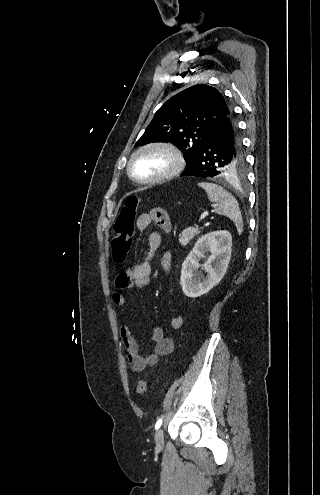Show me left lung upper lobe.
Masks as SVG:
<instances>
[{
  "label": "left lung upper lobe",
  "mask_w": 320,
  "mask_h": 495,
  "mask_svg": "<svg viewBox=\"0 0 320 495\" xmlns=\"http://www.w3.org/2000/svg\"><path fill=\"white\" fill-rule=\"evenodd\" d=\"M230 114V107L217 89L206 84L194 85L162 105L135 147L152 142H170L182 149L189 165L216 127ZM243 168L241 151L234 160L219 168L218 176L228 177Z\"/></svg>",
  "instance_id": "obj_1"
}]
</instances>
